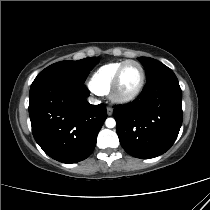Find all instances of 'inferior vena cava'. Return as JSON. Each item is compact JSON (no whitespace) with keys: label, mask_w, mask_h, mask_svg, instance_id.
<instances>
[{"label":"inferior vena cava","mask_w":210,"mask_h":210,"mask_svg":"<svg viewBox=\"0 0 210 210\" xmlns=\"http://www.w3.org/2000/svg\"><path fill=\"white\" fill-rule=\"evenodd\" d=\"M88 102H89L90 104H94V105L100 103L99 100H97V99H95V98H93V97H89V98H88Z\"/></svg>","instance_id":"obj_1"}]
</instances>
